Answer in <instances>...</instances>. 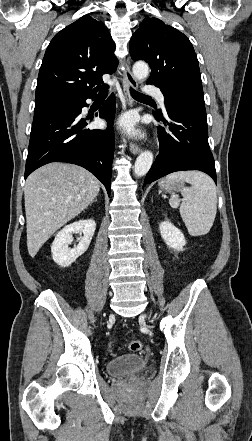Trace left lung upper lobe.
<instances>
[{"label": "left lung upper lobe", "instance_id": "5c2ea615", "mask_svg": "<svg viewBox=\"0 0 252 441\" xmlns=\"http://www.w3.org/2000/svg\"><path fill=\"white\" fill-rule=\"evenodd\" d=\"M134 61L151 67L147 84L159 87L165 105L176 97L189 98L205 107L198 59L189 39L157 18L146 17L130 40Z\"/></svg>", "mask_w": 252, "mask_h": 441}]
</instances>
